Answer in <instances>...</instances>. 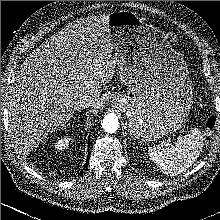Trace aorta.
Wrapping results in <instances>:
<instances>
[{
	"instance_id": "aorta-1",
	"label": "aorta",
	"mask_w": 220,
	"mask_h": 220,
	"mask_svg": "<svg viewBox=\"0 0 220 220\" xmlns=\"http://www.w3.org/2000/svg\"><path fill=\"white\" fill-rule=\"evenodd\" d=\"M101 125L105 132L114 133L117 131L119 126L118 117L116 116V114L111 113L104 117Z\"/></svg>"
}]
</instances>
